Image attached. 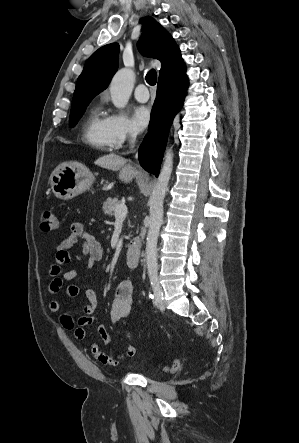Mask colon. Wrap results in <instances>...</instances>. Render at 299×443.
<instances>
[{
    "mask_svg": "<svg viewBox=\"0 0 299 443\" xmlns=\"http://www.w3.org/2000/svg\"><path fill=\"white\" fill-rule=\"evenodd\" d=\"M58 228V218L56 214L51 211L47 210L43 214V220L41 222V229L43 231H53ZM179 368V361L173 360L170 364L164 367V370L169 372H176Z\"/></svg>",
    "mask_w": 299,
    "mask_h": 443,
    "instance_id": "obj_1",
    "label": "colon"
}]
</instances>
